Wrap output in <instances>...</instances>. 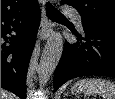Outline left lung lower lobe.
Wrapping results in <instances>:
<instances>
[{"mask_svg":"<svg viewBox=\"0 0 115 99\" xmlns=\"http://www.w3.org/2000/svg\"><path fill=\"white\" fill-rule=\"evenodd\" d=\"M77 42H65L55 70L54 89L81 76L115 77V32L83 26V35L71 29Z\"/></svg>","mask_w":115,"mask_h":99,"instance_id":"1","label":"left lung lower lobe"}]
</instances>
